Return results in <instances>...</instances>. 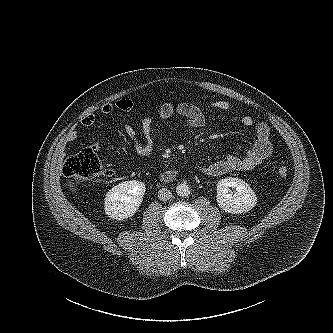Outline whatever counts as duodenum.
<instances>
[{
  "mask_svg": "<svg viewBox=\"0 0 333 333\" xmlns=\"http://www.w3.org/2000/svg\"><path fill=\"white\" fill-rule=\"evenodd\" d=\"M176 171L175 170H168L165 171L162 175H161V179L164 182H169L171 180H173L176 177Z\"/></svg>",
  "mask_w": 333,
  "mask_h": 333,
  "instance_id": "obj_1",
  "label": "duodenum"
}]
</instances>
